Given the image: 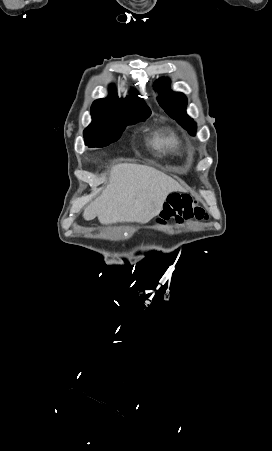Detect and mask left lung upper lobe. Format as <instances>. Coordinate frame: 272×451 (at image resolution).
Masks as SVG:
<instances>
[{
  "instance_id": "1",
  "label": "left lung upper lobe",
  "mask_w": 272,
  "mask_h": 451,
  "mask_svg": "<svg viewBox=\"0 0 272 451\" xmlns=\"http://www.w3.org/2000/svg\"><path fill=\"white\" fill-rule=\"evenodd\" d=\"M169 79L162 78L156 81L155 89L158 90V102L160 106L191 135H195L196 123L185 112L187 98L183 93L172 92L168 89Z\"/></svg>"
}]
</instances>
